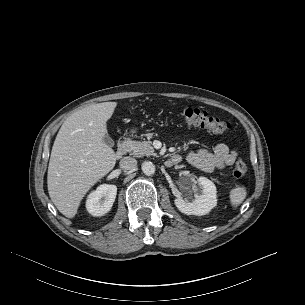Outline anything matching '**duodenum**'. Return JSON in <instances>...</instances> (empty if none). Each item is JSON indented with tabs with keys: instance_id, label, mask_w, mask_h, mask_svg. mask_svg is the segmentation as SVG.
Returning <instances> with one entry per match:
<instances>
[{
	"instance_id": "1",
	"label": "duodenum",
	"mask_w": 305,
	"mask_h": 305,
	"mask_svg": "<svg viewBox=\"0 0 305 305\" xmlns=\"http://www.w3.org/2000/svg\"><path fill=\"white\" fill-rule=\"evenodd\" d=\"M129 144H130V141L128 138H122L119 141L116 151H115L116 158H121L126 154L128 148H129ZM178 162H179V158H177L175 156L168 160V163L170 165L177 164Z\"/></svg>"
}]
</instances>
